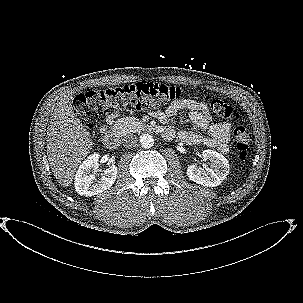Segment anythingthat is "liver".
<instances>
[{"instance_id": "1", "label": "liver", "mask_w": 303, "mask_h": 303, "mask_svg": "<svg viewBox=\"0 0 303 303\" xmlns=\"http://www.w3.org/2000/svg\"><path fill=\"white\" fill-rule=\"evenodd\" d=\"M72 104V92L62 96L47 128L48 160L64 187L72 184L76 169L92 148L90 134L76 117Z\"/></svg>"}]
</instances>
